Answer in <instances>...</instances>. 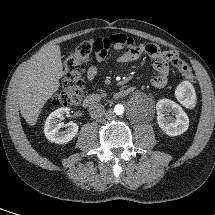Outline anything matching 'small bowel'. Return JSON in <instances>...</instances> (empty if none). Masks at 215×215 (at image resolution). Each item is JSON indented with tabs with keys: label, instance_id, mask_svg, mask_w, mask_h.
I'll use <instances>...</instances> for the list:
<instances>
[{
	"label": "small bowel",
	"instance_id": "1",
	"mask_svg": "<svg viewBox=\"0 0 215 215\" xmlns=\"http://www.w3.org/2000/svg\"><path fill=\"white\" fill-rule=\"evenodd\" d=\"M125 49V52L117 58L119 63H129L136 61L143 53H146L154 61L156 75L151 79V84L157 89H163L168 83L170 73L169 63L178 55L173 51H162L156 44H141L125 34H113L98 37L95 40V54L98 63L103 62L108 50ZM99 72V65L94 64L88 67L86 77L89 82H93Z\"/></svg>",
	"mask_w": 215,
	"mask_h": 215
}]
</instances>
